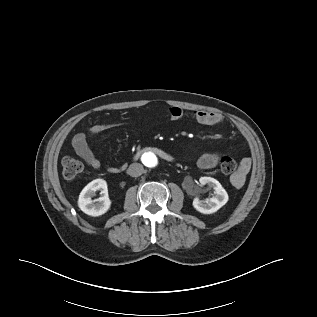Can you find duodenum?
I'll list each match as a JSON object with an SVG mask.
<instances>
[{"mask_svg": "<svg viewBox=\"0 0 317 317\" xmlns=\"http://www.w3.org/2000/svg\"><path fill=\"white\" fill-rule=\"evenodd\" d=\"M147 150H152V151H154L156 154H158L160 157H162L163 159H165V160H167V161H172V160H173V157H172L170 154L164 152V151L161 150V149H158V148H148Z\"/></svg>", "mask_w": 317, "mask_h": 317, "instance_id": "410a0bca", "label": "duodenum"}]
</instances>
